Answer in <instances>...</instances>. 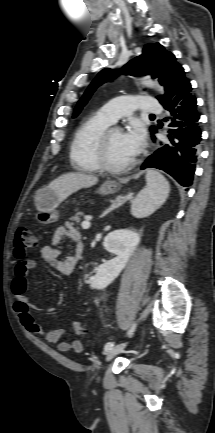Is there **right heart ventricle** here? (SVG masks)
I'll return each mask as SVG.
<instances>
[{
	"label": "right heart ventricle",
	"instance_id": "obj_1",
	"mask_svg": "<svg viewBox=\"0 0 215 433\" xmlns=\"http://www.w3.org/2000/svg\"><path fill=\"white\" fill-rule=\"evenodd\" d=\"M111 122L96 112L86 118L76 130L71 147L70 160L72 166L83 172H96L100 167L96 160V146L101 134Z\"/></svg>",
	"mask_w": 215,
	"mask_h": 433
}]
</instances>
